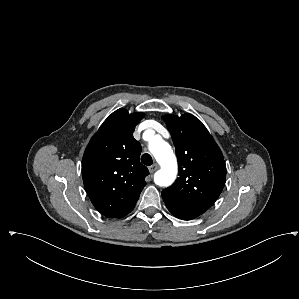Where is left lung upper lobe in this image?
Returning a JSON list of instances; mask_svg holds the SVG:
<instances>
[{
    "mask_svg": "<svg viewBox=\"0 0 299 299\" xmlns=\"http://www.w3.org/2000/svg\"><path fill=\"white\" fill-rule=\"evenodd\" d=\"M163 119L176 148L179 178L162 193L202 214L216 201L225 184L222 152L195 116L166 115Z\"/></svg>",
    "mask_w": 299,
    "mask_h": 299,
    "instance_id": "5c2ea615",
    "label": "left lung upper lobe"
}]
</instances>
